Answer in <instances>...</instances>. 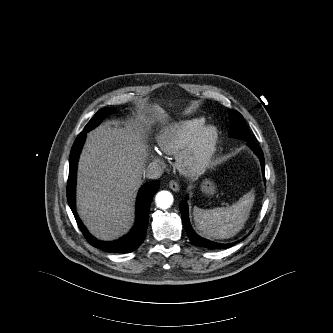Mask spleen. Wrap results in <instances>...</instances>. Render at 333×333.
Wrapping results in <instances>:
<instances>
[{
  "label": "spleen",
  "mask_w": 333,
  "mask_h": 333,
  "mask_svg": "<svg viewBox=\"0 0 333 333\" xmlns=\"http://www.w3.org/2000/svg\"><path fill=\"white\" fill-rule=\"evenodd\" d=\"M254 203L253 190L229 207L201 209L194 207L197 232L208 239H228L243 229Z\"/></svg>",
  "instance_id": "spleen-1"
}]
</instances>
